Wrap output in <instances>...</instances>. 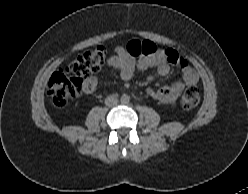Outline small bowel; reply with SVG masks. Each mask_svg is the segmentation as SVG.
<instances>
[{
    "label": "small bowel",
    "instance_id": "obj_1",
    "mask_svg": "<svg viewBox=\"0 0 248 194\" xmlns=\"http://www.w3.org/2000/svg\"><path fill=\"white\" fill-rule=\"evenodd\" d=\"M107 65L116 68L120 71L121 77L124 80H129L134 77L136 70H146L149 67L156 65V70L149 74L146 78L148 83L153 82L159 77H165L170 71L169 63L166 61V52L158 51L152 55H141L138 58L132 56L127 47L117 46L115 53L107 60ZM177 66L182 71V77L171 86L162 87L160 89H149L148 94L157 102L164 105H173L179 94L187 86H194L198 82V76L192 66L183 58ZM97 78L89 77L83 82V92L92 94L97 88Z\"/></svg>",
    "mask_w": 248,
    "mask_h": 194
}]
</instances>
